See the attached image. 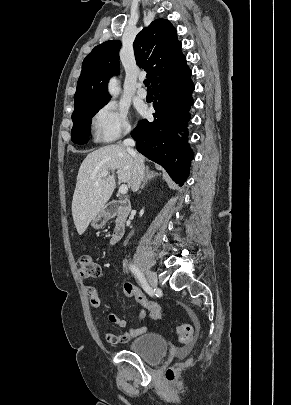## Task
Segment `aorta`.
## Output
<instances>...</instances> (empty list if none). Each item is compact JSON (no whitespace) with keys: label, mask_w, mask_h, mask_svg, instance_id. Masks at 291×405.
I'll return each mask as SVG.
<instances>
[{"label":"aorta","mask_w":291,"mask_h":405,"mask_svg":"<svg viewBox=\"0 0 291 405\" xmlns=\"http://www.w3.org/2000/svg\"><path fill=\"white\" fill-rule=\"evenodd\" d=\"M119 88L116 79H112L109 83V93L112 96H116L118 94Z\"/></svg>","instance_id":"aorta-1"}]
</instances>
